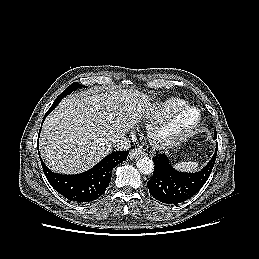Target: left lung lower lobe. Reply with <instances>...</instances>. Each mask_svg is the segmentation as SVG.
<instances>
[{
    "label": "left lung lower lobe",
    "instance_id": "obj_1",
    "mask_svg": "<svg viewBox=\"0 0 259 259\" xmlns=\"http://www.w3.org/2000/svg\"><path fill=\"white\" fill-rule=\"evenodd\" d=\"M217 135L214 136V139ZM218 145L208 164L199 172L184 173L173 168L165 154H156L154 172L147 183L150 194L163 203H180L195 195L210 176L217 155Z\"/></svg>",
    "mask_w": 259,
    "mask_h": 259
}]
</instances>
